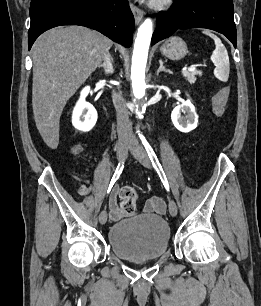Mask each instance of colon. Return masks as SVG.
<instances>
[{
    "label": "colon",
    "mask_w": 261,
    "mask_h": 306,
    "mask_svg": "<svg viewBox=\"0 0 261 306\" xmlns=\"http://www.w3.org/2000/svg\"><path fill=\"white\" fill-rule=\"evenodd\" d=\"M231 89L223 86L212 97V110L218 117H222L226 111V105L230 98ZM78 149V148H77ZM138 196L133 187L126 186L120 191L119 207L125 214H132L136 210Z\"/></svg>",
    "instance_id": "5ec220e1"
}]
</instances>
